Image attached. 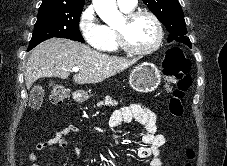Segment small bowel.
<instances>
[{"label":"small bowel","instance_id":"c3829d8e","mask_svg":"<svg viewBox=\"0 0 227 166\" xmlns=\"http://www.w3.org/2000/svg\"><path fill=\"white\" fill-rule=\"evenodd\" d=\"M132 120H136L140 123L145 130L141 137L145 146L138 149V157L150 159L149 166H162L161 148L164 146L166 140L163 135L157 132L156 112L145 105L133 103L116 110L111 116L110 121L113 126H117ZM76 133H78V128L75 125H67L50 139L38 143L28 155V158L33 162L32 166H40L37 161L43 151H56L58 147H67V138ZM73 151L75 157L79 158V148L75 147Z\"/></svg>","mask_w":227,"mask_h":166}]
</instances>
